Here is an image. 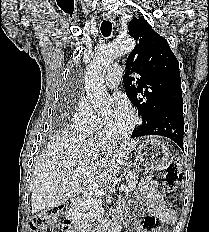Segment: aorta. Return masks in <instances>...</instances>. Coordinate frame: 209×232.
I'll use <instances>...</instances> for the list:
<instances>
[{
    "label": "aorta",
    "instance_id": "1",
    "mask_svg": "<svg viewBox=\"0 0 209 232\" xmlns=\"http://www.w3.org/2000/svg\"><path fill=\"white\" fill-rule=\"evenodd\" d=\"M134 47L135 41L132 38H117L98 51L87 66L85 90L96 111H103L110 107V96L104 85L107 68L118 56L131 52Z\"/></svg>",
    "mask_w": 209,
    "mask_h": 232
}]
</instances>
